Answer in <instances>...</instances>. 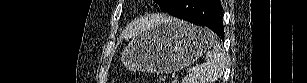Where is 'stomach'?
<instances>
[{"mask_svg": "<svg viewBox=\"0 0 307 83\" xmlns=\"http://www.w3.org/2000/svg\"><path fill=\"white\" fill-rule=\"evenodd\" d=\"M210 46L206 29L172 18L138 34L121 60L131 70L171 73L192 64Z\"/></svg>", "mask_w": 307, "mask_h": 83, "instance_id": "stomach-1", "label": "stomach"}]
</instances>
